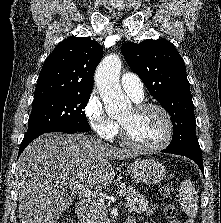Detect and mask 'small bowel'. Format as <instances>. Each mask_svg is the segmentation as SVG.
I'll list each match as a JSON object with an SVG mask.
<instances>
[{
    "mask_svg": "<svg viewBox=\"0 0 221 223\" xmlns=\"http://www.w3.org/2000/svg\"><path fill=\"white\" fill-rule=\"evenodd\" d=\"M128 223H136L133 219H129Z\"/></svg>",
    "mask_w": 221,
    "mask_h": 223,
    "instance_id": "obj_1",
    "label": "small bowel"
}]
</instances>
